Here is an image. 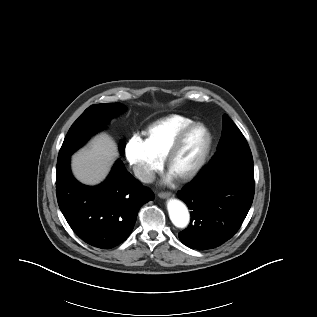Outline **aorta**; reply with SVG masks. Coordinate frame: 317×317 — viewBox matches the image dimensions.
Instances as JSON below:
<instances>
[{
    "mask_svg": "<svg viewBox=\"0 0 317 317\" xmlns=\"http://www.w3.org/2000/svg\"><path fill=\"white\" fill-rule=\"evenodd\" d=\"M168 213L173 225L184 229L190 222V214L187 207L177 199H170L167 203Z\"/></svg>",
    "mask_w": 317,
    "mask_h": 317,
    "instance_id": "762f6f07",
    "label": "aorta"
}]
</instances>
